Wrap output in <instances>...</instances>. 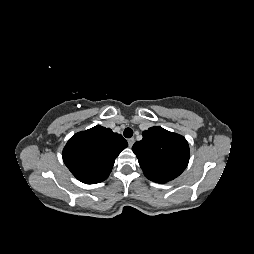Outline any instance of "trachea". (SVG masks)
Segmentation results:
<instances>
[{
	"instance_id": "trachea-1",
	"label": "trachea",
	"mask_w": 254,
	"mask_h": 254,
	"mask_svg": "<svg viewBox=\"0 0 254 254\" xmlns=\"http://www.w3.org/2000/svg\"><path fill=\"white\" fill-rule=\"evenodd\" d=\"M126 138H131L133 136V130L131 128H126L123 132Z\"/></svg>"
}]
</instances>
